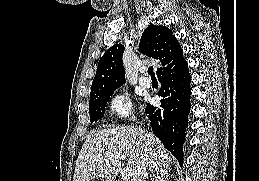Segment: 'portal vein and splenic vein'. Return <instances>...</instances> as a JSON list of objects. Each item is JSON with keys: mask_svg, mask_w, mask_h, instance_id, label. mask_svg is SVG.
I'll list each match as a JSON object with an SVG mask.
<instances>
[{"mask_svg": "<svg viewBox=\"0 0 259 181\" xmlns=\"http://www.w3.org/2000/svg\"><path fill=\"white\" fill-rule=\"evenodd\" d=\"M120 159L125 160L126 157L121 156ZM130 175H131V169H129V168H124L121 171V177H122V180H124V181H127L130 178Z\"/></svg>", "mask_w": 259, "mask_h": 181, "instance_id": "portal-vein-and-splenic-vein-1", "label": "portal vein and splenic vein"}]
</instances>
